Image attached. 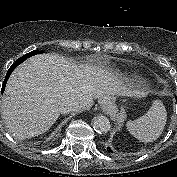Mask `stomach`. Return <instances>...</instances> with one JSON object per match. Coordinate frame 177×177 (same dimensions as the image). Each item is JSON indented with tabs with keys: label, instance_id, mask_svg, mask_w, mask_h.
Segmentation results:
<instances>
[{
	"label": "stomach",
	"instance_id": "stomach-1",
	"mask_svg": "<svg viewBox=\"0 0 177 177\" xmlns=\"http://www.w3.org/2000/svg\"><path fill=\"white\" fill-rule=\"evenodd\" d=\"M114 102H115V98L114 96H112V97L103 98L102 100H100L99 103L103 109H105L106 111L112 112L115 108Z\"/></svg>",
	"mask_w": 177,
	"mask_h": 177
}]
</instances>
